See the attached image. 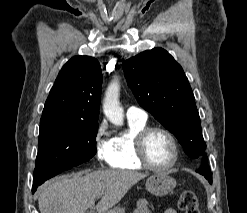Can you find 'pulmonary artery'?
I'll return each instance as SVG.
<instances>
[{"label": "pulmonary artery", "mask_w": 247, "mask_h": 213, "mask_svg": "<svg viewBox=\"0 0 247 213\" xmlns=\"http://www.w3.org/2000/svg\"><path fill=\"white\" fill-rule=\"evenodd\" d=\"M126 116L130 120L146 121L147 113L141 108L131 106L126 111Z\"/></svg>", "instance_id": "e3ab8cb5"}]
</instances>
